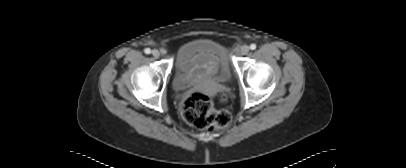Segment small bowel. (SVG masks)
<instances>
[{
    "label": "small bowel",
    "instance_id": "obj_1",
    "mask_svg": "<svg viewBox=\"0 0 406 168\" xmlns=\"http://www.w3.org/2000/svg\"><path fill=\"white\" fill-rule=\"evenodd\" d=\"M195 68L200 71H206L207 73H209L212 69L211 64H208L206 58L202 56H196L193 59L192 64L187 66L188 70H193Z\"/></svg>",
    "mask_w": 406,
    "mask_h": 168
}]
</instances>
